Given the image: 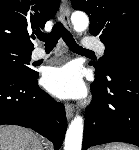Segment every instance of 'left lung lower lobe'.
Wrapping results in <instances>:
<instances>
[{"label":"left lung lower lobe","mask_w":139,"mask_h":150,"mask_svg":"<svg viewBox=\"0 0 139 150\" xmlns=\"http://www.w3.org/2000/svg\"><path fill=\"white\" fill-rule=\"evenodd\" d=\"M106 74L96 69L82 150L109 142L139 147V44L120 52Z\"/></svg>","instance_id":"1"}]
</instances>
